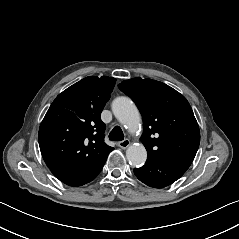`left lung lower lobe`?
Instances as JSON below:
<instances>
[{
  "mask_svg": "<svg viewBox=\"0 0 239 239\" xmlns=\"http://www.w3.org/2000/svg\"><path fill=\"white\" fill-rule=\"evenodd\" d=\"M190 165L189 161L147 160L142 168L134 169V174L148 186L163 188L178 180Z\"/></svg>",
  "mask_w": 239,
  "mask_h": 239,
  "instance_id": "obj_1",
  "label": "left lung lower lobe"
}]
</instances>
